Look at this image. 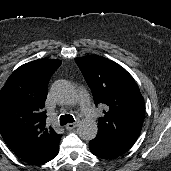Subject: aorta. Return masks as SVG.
Returning <instances> with one entry per match:
<instances>
[{
    "label": "aorta",
    "mask_w": 171,
    "mask_h": 171,
    "mask_svg": "<svg viewBox=\"0 0 171 171\" xmlns=\"http://www.w3.org/2000/svg\"><path fill=\"white\" fill-rule=\"evenodd\" d=\"M52 93L55 99L62 104L72 105L77 99L74 88L66 81L56 82L52 87ZM97 132V123L92 119H83L78 124L77 133L83 140L94 139Z\"/></svg>",
    "instance_id": "obj_1"
}]
</instances>
